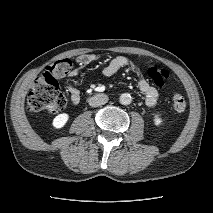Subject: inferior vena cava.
<instances>
[{"instance_id": "inferior-vena-cava-1", "label": "inferior vena cava", "mask_w": 213, "mask_h": 213, "mask_svg": "<svg viewBox=\"0 0 213 213\" xmlns=\"http://www.w3.org/2000/svg\"><path fill=\"white\" fill-rule=\"evenodd\" d=\"M108 101V96L106 94H96L88 99L89 105L91 107H98L106 104Z\"/></svg>"}]
</instances>
